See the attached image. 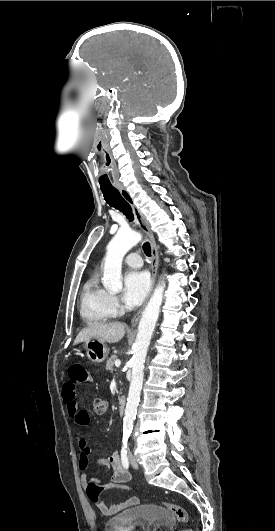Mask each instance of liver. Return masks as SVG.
<instances>
[{
    "mask_svg": "<svg viewBox=\"0 0 275 531\" xmlns=\"http://www.w3.org/2000/svg\"><path fill=\"white\" fill-rule=\"evenodd\" d=\"M124 323H89L86 329L78 333L74 345L86 343L90 339H98L102 343H118L125 335Z\"/></svg>",
    "mask_w": 275,
    "mask_h": 531,
    "instance_id": "1",
    "label": "liver"
}]
</instances>
